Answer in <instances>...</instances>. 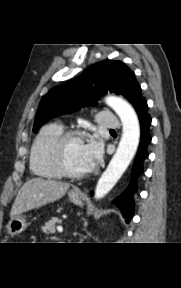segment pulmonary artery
<instances>
[{"label":"pulmonary artery","mask_w":181,"mask_h":288,"mask_svg":"<svg viewBox=\"0 0 181 288\" xmlns=\"http://www.w3.org/2000/svg\"><path fill=\"white\" fill-rule=\"evenodd\" d=\"M97 121L100 127L106 129L119 128V120L115 114L109 111H101L97 115Z\"/></svg>","instance_id":"e3ab8cb5"}]
</instances>
